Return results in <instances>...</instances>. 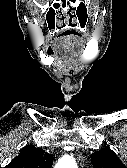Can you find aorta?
<instances>
[{
    "label": "aorta",
    "mask_w": 127,
    "mask_h": 168,
    "mask_svg": "<svg viewBox=\"0 0 127 168\" xmlns=\"http://www.w3.org/2000/svg\"><path fill=\"white\" fill-rule=\"evenodd\" d=\"M55 168H78L75 160L71 156H63L58 163L56 164Z\"/></svg>",
    "instance_id": "762f6f07"
}]
</instances>
